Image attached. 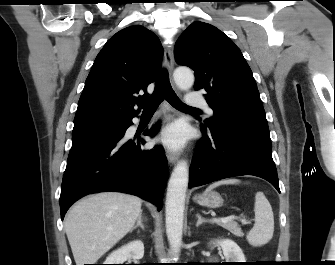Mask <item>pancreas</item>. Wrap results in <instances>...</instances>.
<instances>
[{"label":"pancreas","instance_id":"1","mask_svg":"<svg viewBox=\"0 0 335 265\" xmlns=\"http://www.w3.org/2000/svg\"><path fill=\"white\" fill-rule=\"evenodd\" d=\"M221 226L235 236L242 237L244 235L238 223L233 220L228 221L227 223H222Z\"/></svg>","mask_w":335,"mask_h":265}]
</instances>
